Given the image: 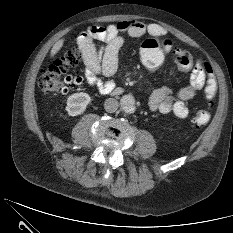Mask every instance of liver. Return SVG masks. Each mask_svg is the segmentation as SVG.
<instances>
[{"instance_id":"obj_1","label":"liver","mask_w":233,"mask_h":233,"mask_svg":"<svg viewBox=\"0 0 233 233\" xmlns=\"http://www.w3.org/2000/svg\"><path fill=\"white\" fill-rule=\"evenodd\" d=\"M64 44V39L58 40L52 47L51 52H50V57H54L63 47Z\"/></svg>"}]
</instances>
